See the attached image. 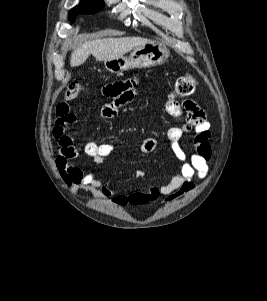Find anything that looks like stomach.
I'll return each instance as SVG.
<instances>
[{
	"label": "stomach",
	"instance_id": "obj_1",
	"mask_svg": "<svg viewBox=\"0 0 267 301\" xmlns=\"http://www.w3.org/2000/svg\"><path fill=\"white\" fill-rule=\"evenodd\" d=\"M169 50L165 44L149 41L137 46L129 57H119L105 61V68L111 73H121L134 68H148L158 66L166 62Z\"/></svg>",
	"mask_w": 267,
	"mask_h": 301
}]
</instances>
